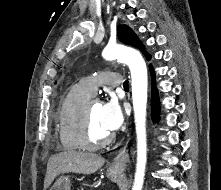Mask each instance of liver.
I'll return each instance as SVG.
<instances>
[{
  "label": "liver",
  "instance_id": "6515ba94",
  "mask_svg": "<svg viewBox=\"0 0 221 190\" xmlns=\"http://www.w3.org/2000/svg\"><path fill=\"white\" fill-rule=\"evenodd\" d=\"M105 158L90 152L65 150L52 155L47 163V172L44 180L46 190L54 179L63 173L92 174L101 168Z\"/></svg>",
  "mask_w": 221,
  "mask_h": 190
}]
</instances>
